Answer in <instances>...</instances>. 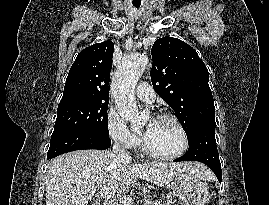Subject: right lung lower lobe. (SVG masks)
<instances>
[{"instance_id":"1","label":"right lung lower lobe","mask_w":269,"mask_h":205,"mask_svg":"<svg viewBox=\"0 0 269 205\" xmlns=\"http://www.w3.org/2000/svg\"><path fill=\"white\" fill-rule=\"evenodd\" d=\"M111 145L109 136L79 128L54 130L47 159L60 154L81 149H108Z\"/></svg>"}]
</instances>
